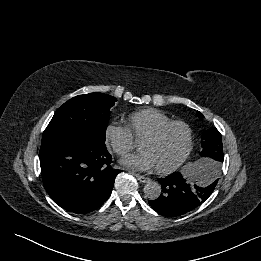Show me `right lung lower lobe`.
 I'll return each mask as SVG.
<instances>
[{
  "label": "right lung lower lobe",
  "instance_id": "obj_1",
  "mask_svg": "<svg viewBox=\"0 0 261 261\" xmlns=\"http://www.w3.org/2000/svg\"><path fill=\"white\" fill-rule=\"evenodd\" d=\"M105 143L73 136L41 144L40 166L44 187L52 200L73 213H89L110 196L121 170L110 166Z\"/></svg>",
  "mask_w": 261,
  "mask_h": 261
}]
</instances>
